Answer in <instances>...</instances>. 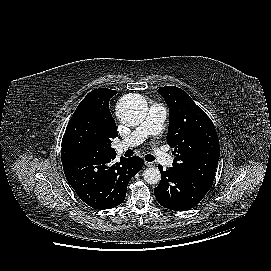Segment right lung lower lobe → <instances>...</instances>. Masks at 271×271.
I'll return each mask as SVG.
<instances>
[{
	"instance_id": "98d812e1",
	"label": "right lung lower lobe",
	"mask_w": 271,
	"mask_h": 271,
	"mask_svg": "<svg viewBox=\"0 0 271 271\" xmlns=\"http://www.w3.org/2000/svg\"><path fill=\"white\" fill-rule=\"evenodd\" d=\"M115 157L116 154L61 152L67 181L87 205L104 210L124 201L127 185L143 167V160L138 156L121 157L115 163Z\"/></svg>"
}]
</instances>
